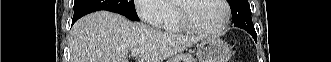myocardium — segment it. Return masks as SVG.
Segmentation results:
<instances>
[{"label": "myocardium", "mask_w": 331, "mask_h": 62, "mask_svg": "<svg viewBox=\"0 0 331 62\" xmlns=\"http://www.w3.org/2000/svg\"><path fill=\"white\" fill-rule=\"evenodd\" d=\"M187 1L190 0H177L175 1L177 10H178V15H179V22L182 25V27L191 33L202 35V36H215L221 34L228 26L229 21H230V9L228 6V3L225 0H218L219 3L222 5L224 9V17L222 24L213 30H205L202 29L198 26H196L187 16L186 11H185V4Z\"/></svg>", "instance_id": "f54148a6"}]
</instances>
